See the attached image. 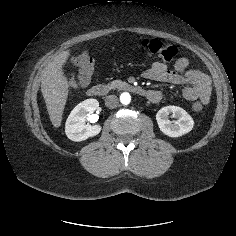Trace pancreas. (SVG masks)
Returning <instances> with one entry per match:
<instances>
[{
  "mask_svg": "<svg viewBox=\"0 0 236 236\" xmlns=\"http://www.w3.org/2000/svg\"><path fill=\"white\" fill-rule=\"evenodd\" d=\"M126 83L125 82H122L121 80H114L110 83L107 84V87L109 89H115V88H120L122 86H125Z\"/></svg>",
  "mask_w": 236,
  "mask_h": 236,
  "instance_id": "pancreas-1",
  "label": "pancreas"
}]
</instances>
